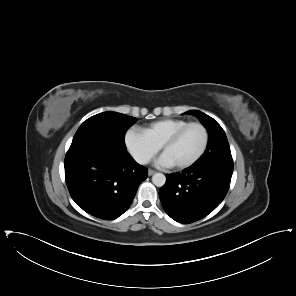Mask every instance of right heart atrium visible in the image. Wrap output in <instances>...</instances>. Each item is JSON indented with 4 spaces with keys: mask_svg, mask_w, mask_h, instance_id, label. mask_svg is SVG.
Segmentation results:
<instances>
[{
    "mask_svg": "<svg viewBox=\"0 0 296 296\" xmlns=\"http://www.w3.org/2000/svg\"><path fill=\"white\" fill-rule=\"evenodd\" d=\"M125 145L131 155L141 164L150 162L160 149L142 130L136 127L127 131Z\"/></svg>",
    "mask_w": 296,
    "mask_h": 296,
    "instance_id": "right-heart-atrium-1",
    "label": "right heart atrium"
}]
</instances>
